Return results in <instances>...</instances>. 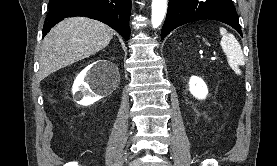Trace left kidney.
Here are the masks:
<instances>
[{
	"instance_id": "5707ae66",
	"label": "left kidney",
	"mask_w": 277,
	"mask_h": 166,
	"mask_svg": "<svg viewBox=\"0 0 277 166\" xmlns=\"http://www.w3.org/2000/svg\"><path fill=\"white\" fill-rule=\"evenodd\" d=\"M189 90L190 93L197 99H205L208 94L207 85L197 76H192L190 78Z\"/></svg>"
}]
</instances>
